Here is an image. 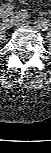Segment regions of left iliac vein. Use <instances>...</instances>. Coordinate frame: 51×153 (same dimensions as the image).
Listing matches in <instances>:
<instances>
[{
    "label": "left iliac vein",
    "mask_w": 51,
    "mask_h": 153,
    "mask_svg": "<svg viewBox=\"0 0 51 153\" xmlns=\"http://www.w3.org/2000/svg\"><path fill=\"white\" fill-rule=\"evenodd\" d=\"M11 19L14 21L15 26L20 27V26L28 25L27 22H24L23 21V18L21 16V13H16V14L15 13H12L11 14Z\"/></svg>",
    "instance_id": "left-iliac-vein-1"
}]
</instances>
